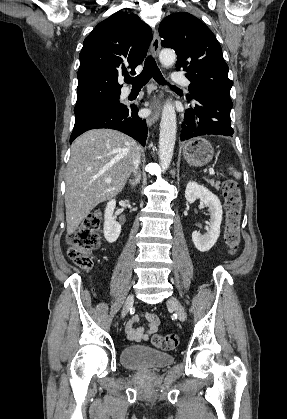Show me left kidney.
<instances>
[{
    "label": "left kidney",
    "mask_w": 287,
    "mask_h": 419,
    "mask_svg": "<svg viewBox=\"0 0 287 419\" xmlns=\"http://www.w3.org/2000/svg\"><path fill=\"white\" fill-rule=\"evenodd\" d=\"M185 198L189 203H193L196 199H200V201L208 207V211L210 212V228L204 235L198 231H194L192 233V240L195 247L200 252L209 251L220 235V225L223 214L221 202L219 198L206 187L193 181L188 182L186 186Z\"/></svg>",
    "instance_id": "1"
}]
</instances>
